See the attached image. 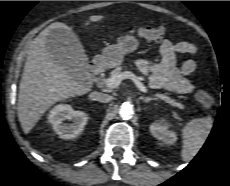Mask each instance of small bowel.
I'll return each mask as SVG.
<instances>
[{
	"instance_id": "1",
	"label": "small bowel",
	"mask_w": 230,
	"mask_h": 186,
	"mask_svg": "<svg viewBox=\"0 0 230 186\" xmlns=\"http://www.w3.org/2000/svg\"><path fill=\"white\" fill-rule=\"evenodd\" d=\"M161 60L152 63L148 60H139L136 65L139 71L149 76V84L153 88H164L176 94H188L194 89V84L187 76L196 69V62L192 59L185 60L176 66L177 54H195L197 47L189 42L173 43L164 40L159 46Z\"/></svg>"
}]
</instances>
